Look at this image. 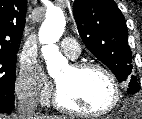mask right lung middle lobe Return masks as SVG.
<instances>
[{"instance_id":"dd1d6c3e","label":"right lung middle lobe","mask_w":142,"mask_h":119,"mask_svg":"<svg viewBox=\"0 0 142 119\" xmlns=\"http://www.w3.org/2000/svg\"><path fill=\"white\" fill-rule=\"evenodd\" d=\"M17 52L0 51V94L14 97Z\"/></svg>"}]
</instances>
